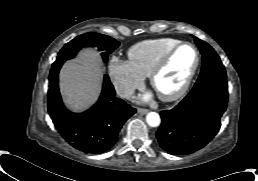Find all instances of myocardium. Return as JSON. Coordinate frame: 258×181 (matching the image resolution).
Here are the masks:
<instances>
[{
  "instance_id": "obj_1",
  "label": "myocardium",
  "mask_w": 258,
  "mask_h": 181,
  "mask_svg": "<svg viewBox=\"0 0 258 181\" xmlns=\"http://www.w3.org/2000/svg\"><path fill=\"white\" fill-rule=\"evenodd\" d=\"M183 46H190L195 52L196 59H195L193 68L191 69L184 83L181 85V87L178 90L170 94L159 93L156 90V80L158 76L164 70V68L169 64V62L171 61L175 53ZM199 65H200V53L198 48L191 42L180 41L159 58V60L157 61V63L155 64V66L153 67L152 71L149 74L150 84L161 100L166 102L175 101L180 97H182L187 92L197 73Z\"/></svg>"
}]
</instances>
